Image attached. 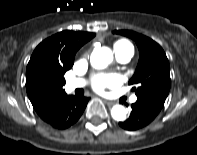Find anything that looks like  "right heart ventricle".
Masks as SVG:
<instances>
[{"mask_svg":"<svg viewBox=\"0 0 197 155\" xmlns=\"http://www.w3.org/2000/svg\"><path fill=\"white\" fill-rule=\"evenodd\" d=\"M123 48H129V49H133V47L131 46L130 43L120 40L114 43V50L115 49H123Z\"/></svg>","mask_w":197,"mask_h":155,"instance_id":"obj_1","label":"right heart ventricle"}]
</instances>
